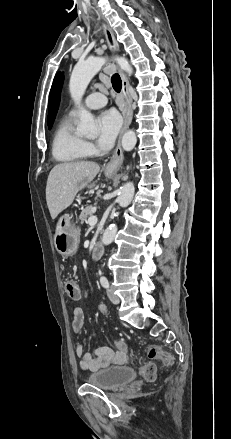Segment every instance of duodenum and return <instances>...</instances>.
Here are the masks:
<instances>
[{
  "label": "duodenum",
  "mask_w": 231,
  "mask_h": 439,
  "mask_svg": "<svg viewBox=\"0 0 231 439\" xmlns=\"http://www.w3.org/2000/svg\"><path fill=\"white\" fill-rule=\"evenodd\" d=\"M103 254V247L100 243H96L95 245H93V247L91 248V258L92 259H99Z\"/></svg>",
  "instance_id": "duodenum-1"
}]
</instances>
